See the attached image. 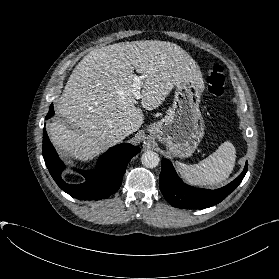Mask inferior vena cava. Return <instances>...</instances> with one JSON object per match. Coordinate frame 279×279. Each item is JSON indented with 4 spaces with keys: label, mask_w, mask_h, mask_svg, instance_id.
Returning <instances> with one entry per match:
<instances>
[{
    "label": "inferior vena cava",
    "mask_w": 279,
    "mask_h": 279,
    "mask_svg": "<svg viewBox=\"0 0 279 279\" xmlns=\"http://www.w3.org/2000/svg\"><path fill=\"white\" fill-rule=\"evenodd\" d=\"M131 133H132V130L130 128H125V129L122 130V135L124 137L128 136Z\"/></svg>",
    "instance_id": "inferior-vena-cava-1"
}]
</instances>
